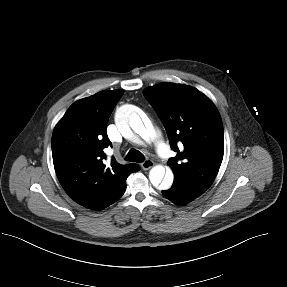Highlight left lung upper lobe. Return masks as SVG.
<instances>
[{"label": "left lung upper lobe", "instance_id": "obj_1", "mask_svg": "<svg viewBox=\"0 0 287 287\" xmlns=\"http://www.w3.org/2000/svg\"><path fill=\"white\" fill-rule=\"evenodd\" d=\"M143 93L177 152L168 161L174 180L204 193L213 183L224 154L223 125L217 108L203 93L187 85L166 82ZM178 142L183 144L180 150Z\"/></svg>", "mask_w": 287, "mask_h": 287}]
</instances>
